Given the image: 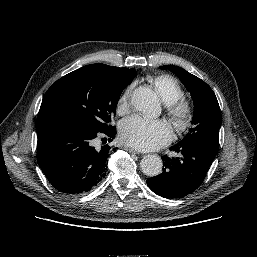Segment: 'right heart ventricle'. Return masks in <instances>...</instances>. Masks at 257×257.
Instances as JSON below:
<instances>
[{"instance_id": "e07e8e85", "label": "right heart ventricle", "mask_w": 257, "mask_h": 257, "mask_svg": "<svg viewBox=\"0 0 257 257\" xmlns=\"http://www.w3.org/2000/svg\"><path fill=\"white\" fill-rule=\"evenodd\" d=\"M149 82L157 91L163 102L168 105L172 104L184 96V90L179 82L169 75H159L149 77Z\"/></svg>"}]
</instances>
